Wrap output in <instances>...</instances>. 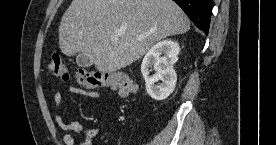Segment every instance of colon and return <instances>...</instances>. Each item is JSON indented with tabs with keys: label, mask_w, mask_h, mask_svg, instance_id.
I'll list each match as a JSON object with an SVG mask.
<instances>
[{
	"label": "colon",
	"mask_w": 276,
	"mask_h": 145,
	"mask_svg": "<svg viewBox=\"0 0 276 145\" xmlns=\"http://www.w3.org/2000/svg\"><path fill=\"white\" fill-rule=\"evenodd\" d=\"M47 71L50 76L64 81L73 77L77 83L86 88H109L122 96H127L135 91L134 83L125 72L76 68L71 73L57 54L50 57Z\"/></svg>",
	"instance_id": "colon-1"
}]
</instances>
